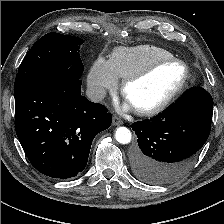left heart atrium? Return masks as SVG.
<instances>
[{
    "instance_id": "left-heart-atrium-1",
    "label": "left heart atrium",
    "mask_w": 224,
    "mask_h": 224,
    "mask_svg": "<svg viewBox=\"0 0 224 224\" xmlns=\"http://www.w3.org/2000/svg\"><path fill=\"white\" fill-rule=\"evenodd\" d=\"M133 106L130 104V103H126L125 105H124V110H129V109H131Z\"/></svg>"
}]
</instances>
